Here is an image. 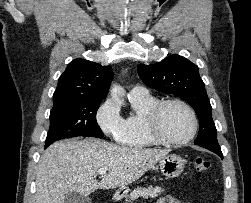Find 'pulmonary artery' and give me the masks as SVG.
I'll list each match as a JSON object with an SVG mask.
<instances>
[{"mask_svg":"<svg viewBox=\"0 0 251 203\" xmlns=\"http://www.w3.org/2000/svg\"><path fill=\"white\" fill-rule=\"evenodd\" d=\"M129 97H147L149 91L143 86H134L128 93Z\"/></svg>","mask_w":251,"mask_h":203,"instance_id":"e3ab8cb5","label":"pulmonary artery"}]
</instances>
